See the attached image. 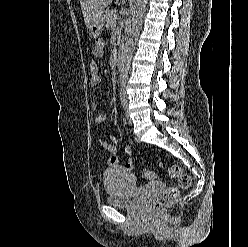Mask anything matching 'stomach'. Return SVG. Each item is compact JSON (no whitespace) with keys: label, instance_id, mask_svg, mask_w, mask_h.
Listing matches in <instances>:
<instances>
[{"label":"stomach","instance_id":"stomach-1","mask_svg":"<svg viewBox=\"0 0 248 247\" xmlns=\"http://www.w3.org/2000/svg\"><path fill=\"white\" fill-rule=\"evenodd\" d=\"M105 11L97 15L89 24L88 32L91 37H98L103 31Z\"/></svg>","mask_w":248,"mask_h":247}]
</instances>
